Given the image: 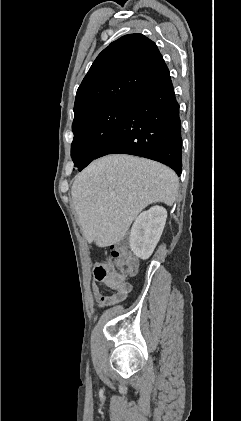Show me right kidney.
I'll list each match as a JSON object with an SVG mask.
<instances>
[{
  "instance_id": "1",
  "label": "right kidney",
  "mask_w": 241,
  "mask_h": 421,
  "mask_svg": "<svg viewBox=\"0 0 241 421\" xmlns=\"http://www.w3.org/2000/svg\"><path fill=\"white\" fill-rule=\"evenodd\" d=\"M167 211L153 206L142 212L135 220L130 233V248L141 259H148L153 253L165 226Z\"/></svg>"
}]
</instances>
